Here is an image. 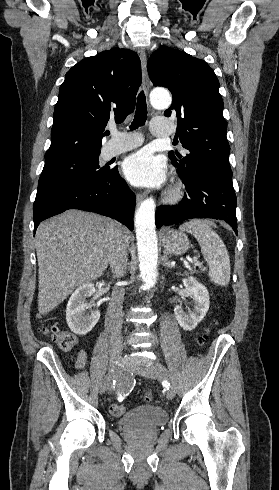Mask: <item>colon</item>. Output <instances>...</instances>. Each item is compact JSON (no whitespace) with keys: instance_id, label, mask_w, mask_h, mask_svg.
<instances>
[{"instance_id":"1","label":"colon","mask_w":279,"mask_h":490,"mask_svg":"<svg viewBox=\"0 0 279 490\" xmlns=\"http://www.w3.org/2000/svg\"><path fill=\"white\" fill-rule=\"evenodd\" d=\"M40 332L51 338L57 345L59 346L60 349L69 351L71 350V347H75V342L76 338L75 336L66 331H62L59 329L58 326L53 325V324H46L40 328ZM208 340V335L206 333H203L199 337V343L201 345H204ZM144 399L147 402H150L152 399V396L149 393H146L144 395ZM126 407L124 404H113L110 407V413L114 416H121L125 413Z\"/></svg>"}]
</instances>
